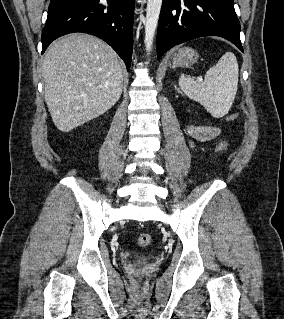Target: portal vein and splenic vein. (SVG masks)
<instances>
[{
	"label": "portal vein and splenic vein",
	"mask_w": 284,
	"mask_h": 319,
	"mask_svg": "<svg viewBox=\"0 0 284 319\" xmlns=\"http://www.w3.org/2000/svg\"><path fill=\"white\" fill-rule=\"evenodd\" d=\"M197 80H198L199 82L203 81L202 77H198Z\"/></svg>",
	"instance_id": "1"
}]
</instances>
